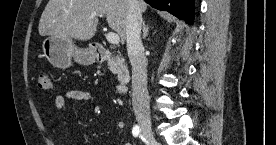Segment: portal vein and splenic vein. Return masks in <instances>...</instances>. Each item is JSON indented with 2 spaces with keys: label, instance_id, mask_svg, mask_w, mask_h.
<instances>
[{
  "label": "portal vein and splenic vein",
  "instance_id": "portal-vein-and-splenic-vein-1",
  "mask_svg": "<svg viewBox=\"0 0 276 145\" xmlns=\"http://www.w3.org/2000/svg\"><path fill=\"white\" fill-rule=\"evenodd\" d=\"M92 18H94V16H92ZM106 39L109 43L111 44H119L120 42V37L118 34L116 33H113V32H109L107 35H106Z\"/></svg>",
  "mask_w": 276,
  "mask_h": 145
}]
</instances>
